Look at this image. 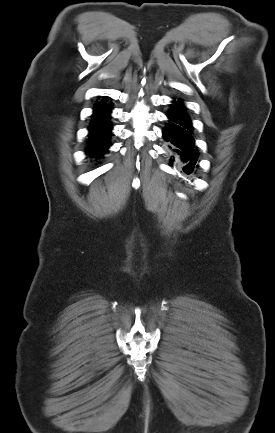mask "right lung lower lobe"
Masks as SVG:
<instances>
[{
  "mask_svg": "<svg viewBox=\"0 0 275 433\" xmlns=\"http://www.w3.org/2000/svg\"><path fill=\"white\" fill-rule=\"evenodd\" d=\"M108 100L107 97L94 107L92 121L89 126V139L87 154L94 158H100L111 146V123L110 111L111 105L105 104Z\"/></svg>",
  "mask_w": 275,
  "mask_h": 433,
  "instance_id": "98d812e1",
  "label": "right lung lower lobe"
}]
</instances>
